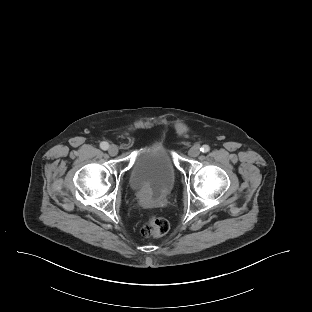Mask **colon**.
Listing matches in <instances>:
<instances>
[{"label": "colon", "instance_id": "5ec220e1", "mask_svg": "<svg viewBox=\"0 0 312 312\" xmlns=\"http://www.w3.org/2000/svg\"><path fill=\"white\" fill-rule=\"evenodd\" d=\"M169 230V222L158 216H152L142 227L141 233L144 237L152 238L166 234Z\"/></svg>", "mask_w": 312, "mask_h": 312}]
</instances>
